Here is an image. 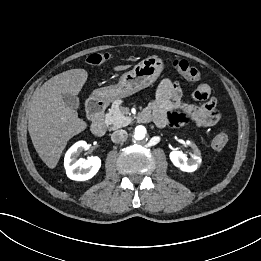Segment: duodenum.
Listing matches in <instances>:
<instances>
[{"label": "duodenum", "instance_id": "obj_1", "mask_svg": "<svg viewBox=\"0 0 261 261\" xmlns=\"http://www.w3.org/2000/svg\"><path fill=\"white\" fill-rule=\"evenodd\" d=\"M105 109L106 101L101 97L93 98L87 105V114L92 122V133L98 137H102L106 133V123L104 120ZM145 118L146 114L142 112L140 114V119L143 121Z\"/></svg>", "mask_w": 261, "mask_h": 261}]
</instances>
